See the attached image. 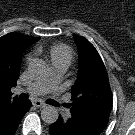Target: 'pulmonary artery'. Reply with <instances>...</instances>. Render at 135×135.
<instances>
[{
	"instance_id": "obj_1",
	"label": "pulmonary artery",
	"mask_w": 135,
	"mask_h": 135,
	"mask_svg": "<svg viewBox=\"0 0 135 135\" xmlns=\"http://www.w3.org/2000/svg\"><path fill=\"white\" fill-rule=\"evenodd\" d=\"M67 70L66 66L56 65L53 66V74L48 82L44 83H31L26 85L24 88H17L16 92L25 91L30 95H41L46 93L47 91L53 89L61 80L63 75ZM70 114L66 113V117H69Z\"/></svg>"
}]
</instances>
